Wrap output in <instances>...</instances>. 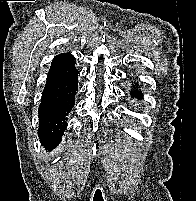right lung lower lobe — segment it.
<instances>
[{"mask_svg":"<svg viewBox=\"0 0 196 201\" xmlns=\"http://www.w3.org/2000/svg\"><path fill=\"white\" fill-rule=\"evenodd\" d=\"M78 70L71 54L56 56L51 64L39 107V137L47 150L60 141L67 127V115L75 104Z\"/></svg>","mask_w":196,"mask_h":201,"instance_id":"98d812e1","label":"right lung lower lobe"}]
</instances>
